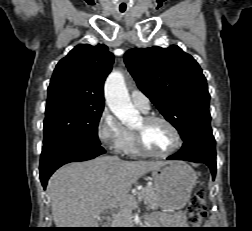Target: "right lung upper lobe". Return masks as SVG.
Segmentation results:
<instances>
[{
	"instance_id": "cb5924a9",
	"label": "right lung upper lobe",
	"mask_w": 252,
	"mask_h": 231,
	"mask_svg": "<svg viewBox=\"0 0 252 231\" xmlns=\"http://www.w3.org/2000/svg\"><path fill=\"white\" fill-rule=\"evenodd\" d=\"M114 56L107 46H75L55 67L48 87V99L69 97L91 104H104V81Z\"/></svg>"
}]
</instances>
